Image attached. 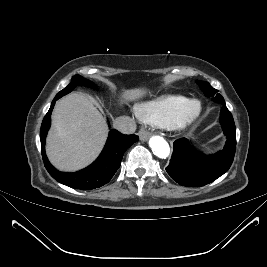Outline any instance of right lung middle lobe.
<instances>
[{"instance_id": "right-lung-middle-lobe-1", "label": "right lung middle lobe", "mask_w": 267, "mask_h": 267, "mask_svg": "<svg viewBox=\"0 0 267 267\" xmlns=\"http://www.w3.org/2000/svg\"><path fill=\"white\" fill-rule=\"evenodd\" d=\"M81 84L92 86V83L89 80L84 79L83 77L79 75H75L74 77H72L71 83L67 87H65L63 90H61L56 96L62 97L68 94L69 92H71L77 85H81Z\"/></svg>"}]
</instances>
